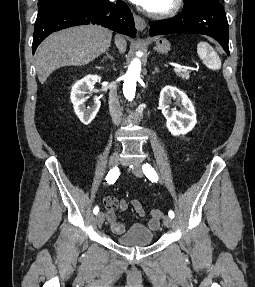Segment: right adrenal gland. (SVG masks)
<instances>
[{
    "mask_svg": "<svg viewBox=\"0 0 255 287\" xmlns=\"http://www.w3.org/2000/svg\"><path fill=\"white\" fill-rule=\"evenodd\" d=\"M110 50H107V52H105L106 56H104L103 60H101L102 64L103 62H105V60H107V58H109V60H114V58H112L111 54H109Z\"/></svg>",
    "mask_w": 255,
    "mask_h": 287,
    "instance_id": "obj_1",
    "label": "right adrenal gland"
}]
</instances>
